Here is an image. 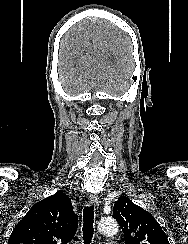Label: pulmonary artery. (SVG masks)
<instances>
[{
	"label": "pulmonary artery",
	"instance_id": "pulmonary-artery-1",
	"mask_svg": "<svg viewBox=\"0 0 188 244\" xmlns=\"http://www.w3.org/2000/svg\"><path fill=\"white\" fill-rule=\"evenodd\" d=\"M106 244H115V243H113V242H108V243H106Z\"/></svg>",
	"mask_w": 188,
	"mask_h": 244
}]
</instances>
